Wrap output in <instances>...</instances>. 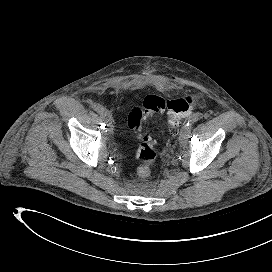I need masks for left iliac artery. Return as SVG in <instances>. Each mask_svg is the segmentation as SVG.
Here are the masks:
<instances>
[{"instance_id":"obj_1","label":"left iliac artery","mask_w":272,"mask_h":272,"mask_svg":"<svg viewBox=\"0 0 272 272\" xmlns=\"http://www.w3.org/2000/svg\"><path fill=\"white\" fill-rule=\"evenodd\" d=\"M202 118L201 114H194L191 119L188 120V122L185 124L186 126H192L194 122H197Z\"/></svg>"}]
</instances>
